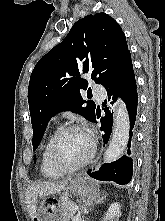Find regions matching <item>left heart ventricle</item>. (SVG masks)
Wrapping results in <instances>:
<instances>
[{
    "mask_svg": "<svg viewBox=\"0 0 165 221\" xmlns=\"http://www.w3.org/2000/svg\"><path fill=\"white\" fill-rule=\"evenodd\" d=\"M90 146V139L85 132H68L57 143L56 159L62 166H74L88 155Z\"/></svg>",
    "mask_w": 165,
    "mask_h": 221,
    "instance_id": "left-heart-ventricle-1",
    "label": "left heart ventricle"
}]
</instances>
